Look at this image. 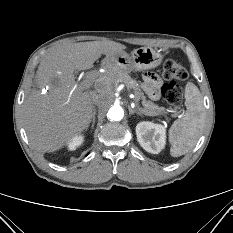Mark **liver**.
<instances>
[{"label":"liver","instance_id":"liver-1","mask_svg":"<svg viewBox=\"0 0 233 233\" xmlns=\"http://www.w3.org/2000/svg\"><path fill=\"white\" fill-rule=\"evenodd\" d=\"M124 49V44L109 40L68 42L44 56L35 81L39 89L48 90L44 94L31 91L23 103L26 133L33 148L54 152L87 130L95 112V92L79 90L74 72L92 68L102 54L111 57Z\"/></svg>","mask_w":233,"mask_h":233}]
</instances>
